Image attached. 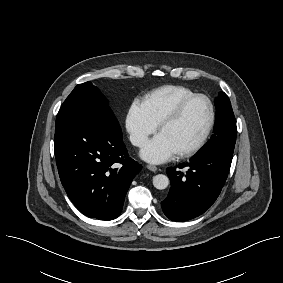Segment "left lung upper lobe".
<instances>
[{"label": "left lung upper lobe", "instance_id": "1", "mask_svg": "<svg viewBox=\"0 0 283 283\" xmlns=\"http://www.w3.org/2000/svg\"><path fill=\"white\" fill-rule=\"evenodd\" d=\"M215 106L214 134L202 150H219L233 155L237 127L230 100L224 92H220L215 99Z\"/></svg>", "mask_w": 283, "mask_h": 283}]
</instances>
